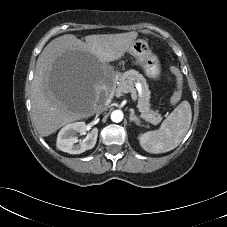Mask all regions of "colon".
<instances>
[{
	"instance_id": "5ec220e1",
	"label": "colon",
	"mask_w": 227,
	"mask_h": 227,
	"mask_svg": "<svg viewBox=\"0 0 227 227\" xmlns=\"http://www.w3.org/2000/svg\"><path fill=\"white\" fill-rule=\"evenodd\" d=\"M171 73L175 76L177 80V90L173 94L171 101L172 103H177L181 98V84H182V75L179 69L172 67Z\"/></svg>"
}]
</instances>
